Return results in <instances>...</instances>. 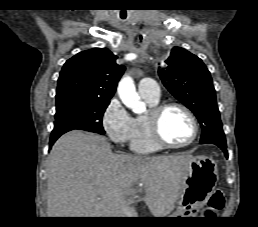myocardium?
Returning <instances> with one entry per match:
<instances>
[{
  "instance_id": "1",
  "label": "myocardium",
  "mask_w": 258,
  "mask_h": 227,
  "mask_svg": "<svg viewBox=\"0 0 258 227\" xmlns=\"http://www.w3.org/2000/svg\"><path fill=\"white\" fill-rule=\"evenodd\" d=\"M170 108H178L185 112V114L188 116V118L191 121L192 127H193V134L191 138L183 143H172L164 138L161 131V119L164 113L170 109ZM147 117V122L149 125V129L151 132V135L153 137V140L157 145L160 147L165 148H182L187 147L194 143L199 135V124L198 121L194 115V113L184 104L177 103V102H168V103H161L153 106Z\"/></svg>"
}]
</instances>
